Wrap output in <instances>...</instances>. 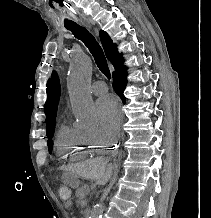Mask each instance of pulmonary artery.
<instances>
[{
    "label": "pulmonary artery",
    "instance_id": "1",
    "mask_svg": "<svg viewBox=\"0 0 211 218\" xmlns=\"http://www.w3.org/2000/svg\"><path fill=\"white\" fill-rule=\"evenodd\" d=\"M92 90L96 95H104L108 92V86L104 81H96L92 86Z\"/></svg>",
    "mask_w": 211,
    "mask_h": 218
}]
</instances>
